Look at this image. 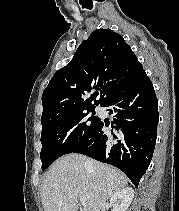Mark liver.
Wrapping results in <instances>:
<instances>
[{
	"label": "liver",
	"mask_w": 179,
	"mask_h": 211,
	"mask_svg": "<svg viewBox=\"0 0 179 211\" xmlns=\"http://www.w3.org/2000/svg\"><path fill=\"white\" fill-rule=\"evenodd\" d=\"M128 178L112 166L80 154L57 159L41 185L44 211H78L80 196H86L80 211H100L105 202L124 188Z\"/></svg>",
	"instance_id": "obj_1"
}]
</instances>
